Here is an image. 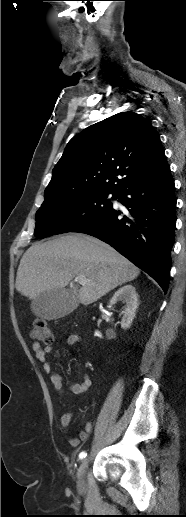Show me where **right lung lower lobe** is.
<instances>
[{"label":"right lung lower lobe","mask_w":186,"mask_h":517,"mask_svg":"<svg viewBox=\"0 0 186 517\" xmlns=\"http://www.w3.org/2000/svg\"><path fill=\"white\" fill-rule=\"evenodd\" d=\"M117 199L128 209V216L121 217L120 211L111 208L72 232L110 244L167 292L176 228L170 167L123 190Z\"/></svg>","instance_id":"98d812e1"}]
</instances>
